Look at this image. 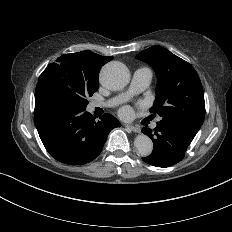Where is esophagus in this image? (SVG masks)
<instances>
[{"mask_svg": "<svg viewBox=\"0 0 232 232\" xmlns=\"http://www.w3.org/2000/svg\"><path fill=\"white\" fill-rule=\"evenodd\" d=\"M129 130H131L132 132H135V133H140L141 132V129L139 127H135L133 125H127L126 126Z\"/></svg>", "mask_w": 232, "mask_h": 232, "instance_id": "1", "label": "esophagus"}]
</instances>
